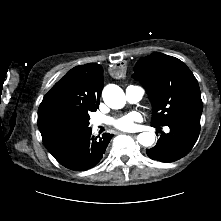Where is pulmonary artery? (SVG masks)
I'll return each instance as SVG.
<instances>
[{
  "label": "pulmonary artery",
  "mask_w": 221,
  "mask_h": 221,
  "mask_svg": "<svg viewBox=\"0 0 221 221\" xmlns=\"http://www.w3.org/2000/svg\"><path fill=\"white\" fill-rule=\"evenodd\" d=\"M125 95L129 102H138L142 99L144 95V89L137 85H130L126 88ZM92 124L94 128H97L100 125V121L94 120Z\"/></svg>",
  "instance_id": "pulmonary-artery-1"
}]
</instances>
